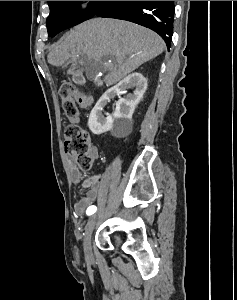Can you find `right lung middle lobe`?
<instances>
[{"instance_id": "right-lung-middle-lobe-1", "label": "right lung middle lobe", "mask_w": 237, "mask_h": 300, "mask_svg": "<svg viewBox=\"0 0 237 300\" xmlns=\"http://www.w3.org/2000/svg\"><path fill=\"white\" fill-rule=\"evenodd\" d=\"M80 2L48 1L50 15L46 20V25L49 36L53 37L67 28L90 19L105 1H91V6L86 10L80 9Z\"/></svg>"}]
</instances>
